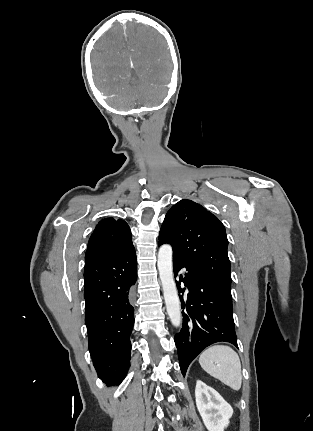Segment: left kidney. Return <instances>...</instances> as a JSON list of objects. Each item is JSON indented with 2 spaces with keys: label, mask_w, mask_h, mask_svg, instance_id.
<instances>
[{
  "label": "left kidney",
  "mask_w": 313,
  "mask_h": 431,
  "mask_svg": "<svg viewBox=\"0 0 313 431\" xmlns=\"http://www.w3.org/2000/svg\"><path fill=\"white\" fill-rule=\"evenodd\" d=\"M196 406L208 431H224L233 415V408L213 388L198 380L195 388Z\"/></svg>",
  "instance_id": "obj_1"
}]
</instances>
